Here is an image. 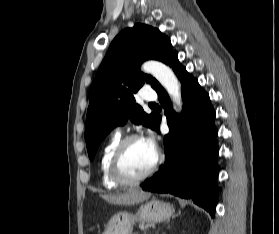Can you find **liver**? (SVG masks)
<instances>
[{
  "instance_id": "1",
  "label": "liver",
  "mask_w": 279,
  "mask_h": 234,
  "mask_svg": "<svg viewBox=\"0 0 279 234\" xmlns=\"http://www.w3.org/2000/svg\"><path fill=\"white\" fill-rule=\"evenodd\" d=\"M150 195L144 191L130 190L126 193L101 195V197L114 205H134L147 200Z\"/></svg>"
}]
</instances>
